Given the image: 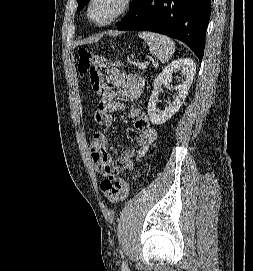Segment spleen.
Listing matches in <instances>:
<instances>
[{
	"label": "spleen",
	"mask_w": 253,
	"mask_h": 271,
	"mask_svg": "<svg viewBox=\"0 0 253 271\" xmlns=\"http://www.w3.org/2000/svg\"><path fill=\"white\" fill-rule=\"evenodd\" d=\"M149 46L150 52L157 57L161 63L168 62L174 54L175 43L165 35L153 32H140L138 34Z\"/></svg>",
	"instance_id": "3e777b00"
}]
</instances>
